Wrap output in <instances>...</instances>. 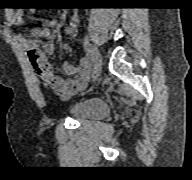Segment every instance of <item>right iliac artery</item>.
Instances as JSON below:
<instances>
[{
	"label": "right iliac artery",
	"instance_id": "82829eb1",
	"mask_svg": "<svg viewBox=\"0 0 192 180\" xmlns=\"http://www.w3.org/2000/svg\"><path fill=\"white\" fill-rule=\"evenodd\" d=\"M83 47H84V50L86 52V57H87L89 64L90 65L93 64L95 61V57H94V53H93L91 44L89 43L88 40H84Z\"/></svg>",
	"mask_w": 192,
	"mask_h": 180
}]
</instances>
